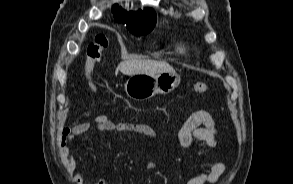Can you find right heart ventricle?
<instances>
[{
	"instance_id": "1",
	"label": "right heart ventricle",
	"mask_w": 293,
	"mask_h": 184,
	"mask_svg": "<svg viewBox=\"0 0 293 184\" xmlns=\"http://www.w3.org/2000/svg\"><path fill=\"white\" fill-rule=\"evenodd\" d=\"M177 51L181 54H185L187 52V47L185 45H180L177 47Z\"/></svg>"
}]
</instances>
